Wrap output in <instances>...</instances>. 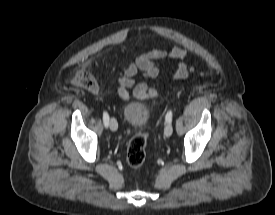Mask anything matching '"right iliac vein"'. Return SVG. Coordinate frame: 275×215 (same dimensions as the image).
Instances as JSON below:
<instances>
[{
	"mask_svg": "<svg viewBox=\"0 0 275 215\" xmlns=\"http://www.w3.org/2000/svg\"><path fill=\"white\" fill-rule=\"evenodd\" d=\"M109 126L112 131H116L118 128V123L115 118H110L109 120Z\"/></svg>",
	"mask_w": 275,
	"mask_h": 215,
	"instance_id": "63e3f726",
	"label": "right iliac vein"
}]
</instances>
